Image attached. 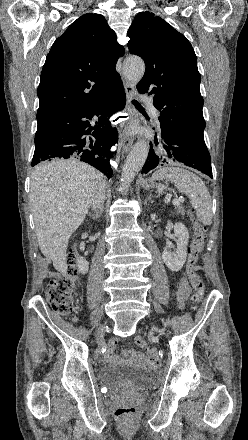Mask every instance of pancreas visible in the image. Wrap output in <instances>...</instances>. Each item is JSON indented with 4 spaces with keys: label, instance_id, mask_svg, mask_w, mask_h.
I'll use <instances>...</instances> for the list:
<instances>
[{
    "label": "pancreas",
    "instance_id": "1",
    "mask_svg": "<svg viewBox=\"0 0 248 440\" xmlns=\"http://www.w3.org/2000/svg\"><path fill=\"white\" fill-rule=\"evenodd\" d=\"M176 209H177L178 213H180L181 215H184L185 211H184L182 205H180V204L176 205Z\"/></svg>",
    "mask_w": 248,
    "mask_h": 440
}]
</instances>
